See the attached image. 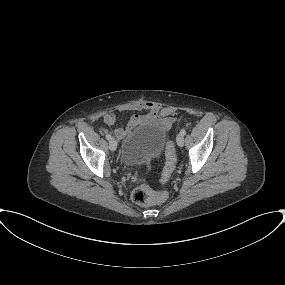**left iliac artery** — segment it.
Masks as SVG:
<instances>
[{
  "label": "left iliac artery",
  "instance_id": "44dca946",
  "mask_svg": "<svg viewBox=\"0 0 285 285\" xmlns=\"http://www.w3.org/2000/svg\"><path fill=\"white\" fill-rule=\"evenodd\" d=\"M180 134L184 136V135L186 134V130H185V129H182V130L180 131Z\"/></svg>",
  "mask_w": 285,
  "mask_h": 285
}]
</instances>
